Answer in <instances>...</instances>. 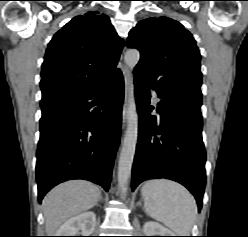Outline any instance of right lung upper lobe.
I'll return each instance as SVG.
<instances>
[{
    "label": "right lung upper lobe",
    "instance_id": "right-lung-upper-lobe-1",
    "mask_svg": "<svg viewBox=\"0 0 248 237\" xmlns=\"http://www.w3.org/2000/svg\"><path fill=\"white\" fill-rule=\"evenodd\" d=\"M123 44L105 14L91 11L74 17L48 44L42 100L83 91L120 72L116 65Z\"/></svg>",
    "mask_w": 248,
    "mask_h": 237
}]
</instances>
